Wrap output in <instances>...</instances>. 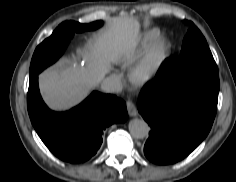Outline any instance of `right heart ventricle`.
<instances>
[{"mask_svg":"<svg viewBox=\"0 0 236 182\" xmlns=\"http://www.w3.org/2000/svg\"><path fill=\"white\" fill-rule=\"evenodd\" d=\"M158 35L159 32L155 29L143 32L132 46L129 54L122 60V64L131 65L136 62L146 52Z\"/></svg>","mask_w":236,"mask_h":182,"instance_id":"obj_1","label":"right heart ventricle"}]
</instances>
